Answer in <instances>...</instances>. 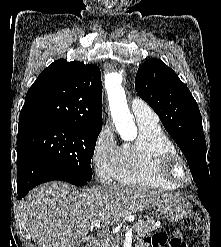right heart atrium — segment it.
<instances>
[{
	"mask_svg": "<svg viewBox=\"0 0 221 247\" xmlns=\"http://www.w3.org/2000/svg\"><path fill=\"white\" fill-rule=\"evenodd\" d=\"M119 149L112 130L104 128L97 136L92 150V163L101 182L110 183L115 179Z\"/></svg>",
	"mask_w": 221,
	"mask_h": 247,
	"instance_id": "right-heart-atrium-1",
	"label": "right heart atrium"
}]
</instances>
